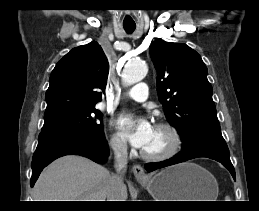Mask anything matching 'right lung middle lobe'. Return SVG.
Returning <instances> with one entry per match:
<instances>
[{"mask_svg":"<svg viewBox=\"0 0 259 211\" xmlns=\"http://www.w3.org/2000/svg\"><path fill=\"white\" fill-rule=\"evenodd\" d=\"M103 114L95 107L88 108L71 116L44 123L41 133L75 131L90 134L103 133Z\"/></svg>","mask_w":259,"mask_h":211,"instance_id":"right-lung-middle-lobe-1","label":"right lung middle lobe"}]
</instances>
